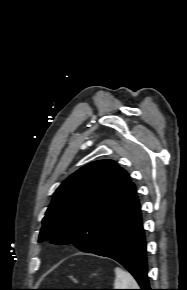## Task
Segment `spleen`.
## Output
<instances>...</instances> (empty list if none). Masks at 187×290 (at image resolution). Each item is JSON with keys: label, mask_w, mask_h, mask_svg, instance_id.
<instances>
[{"label": "spleen", "mask_w": 187, "mask_h": 290, "mask_svg": "<svg viewBox=\"0 0 187 290\" xmlns=\"http://www.w3.org/2000/svg\"><path fill=\"white\" fill-rule=\"evenodd\" d=\"M114 289H138V284L133 276L120 268L115 269Z\"/></svg>", "instance_id": "spleen-1"}]
</instances>
